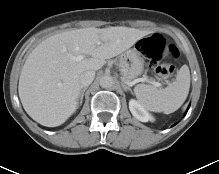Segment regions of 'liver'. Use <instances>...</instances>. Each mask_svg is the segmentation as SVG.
<instances>
[{
	"label": "liver",
	"mask_w": 219,
	"mask_h": 174,
	"mask_svg": "<svg viewBox=\"0 0 219 174\" xmlns=\"http://www.w3.org/2000/svg\"><path fill=\"white\" fill-rule=\"evenodd\" d=\"M149 32L117 26L64 31L43 40L26 59L18 92L23 108L47 127L63 124L80 96V76L97 71ZM80 55L91 58L77 60Z\"/></svg>",
	"instance_id": "1"
}]
</instances>
